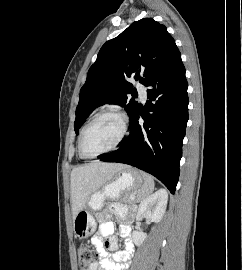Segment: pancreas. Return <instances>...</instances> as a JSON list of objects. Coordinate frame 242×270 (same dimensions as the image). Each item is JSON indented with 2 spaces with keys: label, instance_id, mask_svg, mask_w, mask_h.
I'll use <instances>...</instances> for the list:
<instances>
[{
  "label": "pancreas",
  "instance_id": "cf45deb5",
  "mask_svg": "<svg viewBox=\"0 0 242 270\" xmlns=\"http://www.w3.org/2000/svg\"><path fill=\"white\" fill-rule=\"evenodd\" d=\"M135 193H129V194H126L123 198V201L125 203H128V204H134L135 201L134 199H132V197H134Z\"/></svg>",
  "mask_w": 242,
  "mask_h": 270
}]
</instances>
